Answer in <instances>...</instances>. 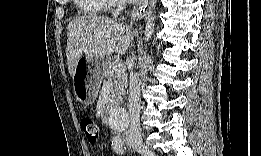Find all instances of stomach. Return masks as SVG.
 <instances>
[{
    "mask_svg": "<svg viewBox=\"0 0 261 156\" xmlns=\"http://www.w3.org/2000/svg\"><path fill=\"white\" fill-rule=\"evenodd\" d=\"M80 60V59H79ZM84 71H80V62L78 61L75 74L73 76V86L76 98L83 105H92L96 100L101 80L102 70L108 58L104 57H85Z\"/></svg>",
    "mask_w": 261,
    "mask_h": 156,
    "instance_id": "1",
    "label": "stomach"
}]
</instances>
